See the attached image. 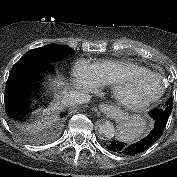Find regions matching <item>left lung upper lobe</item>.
Returning a JSON list of instances; mask_svg holds the SVG:
<instances>
[{
	"mask_svg": "<svg viewBox=\"0 0 177 177\" xmlns=\"http://www.w3.org/2000/svg\"><path fill=\"white\" fill-rule=\"evenodd\" d=\"M172 106H173V98L170 97V98L165 102V104L163 105V108H164V107H171L170 109L172 110Z\"/></svg>",
	"mask_w": 177,
	"mask_h": 177,
	"instance_id": "obj_1",
	"label": "left lung upper lobe"
}]
</instances>
